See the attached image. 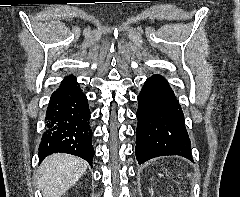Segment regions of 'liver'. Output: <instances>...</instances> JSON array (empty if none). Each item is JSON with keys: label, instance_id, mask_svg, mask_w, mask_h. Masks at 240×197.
<instances>
[{"label": "liver", "instance_id": "1", "mask_svg": "<svg viewBox=\"0 0 240 197\" xmlns=\"http://www.w3.org/2000/svg\"><path fill=\"white\" fill-rule=\"evenodd\" d=\"M88 163L70 154L46 157L38 169V187L43 197H61L85 173Z\"/></svg>", "mask_w": 240, "mask_h": 197}]
</instances>
